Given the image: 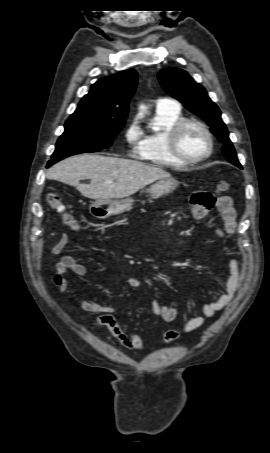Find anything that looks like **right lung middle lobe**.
<instances>
[{"mask_svg": "<svg viewBox=\"0 0 270 453\" xmlns=\"http://www.w3.org/2000/svg\"><path fill=\"white\" fill-rule=\"evenodd\" d=\"M123 127L124 123L94 116L69 117L65 123V131L59 137L47 166L70 155L96 152L109 147Z\"/></svg>", "mask_w": 270, "mask_h": 453, "instance_id": "dd1d6c3e", "label": "right lung middle lobe"}]
</instances>
